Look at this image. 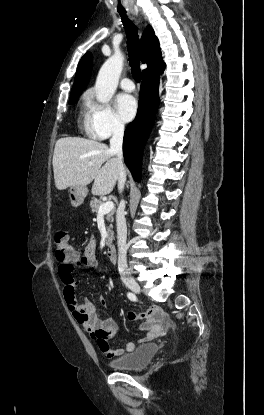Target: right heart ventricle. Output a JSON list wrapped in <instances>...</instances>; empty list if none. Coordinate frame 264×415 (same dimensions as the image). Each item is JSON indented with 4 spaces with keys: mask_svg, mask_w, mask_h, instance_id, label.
I'll list each match as a JSON object with an SVG mask.
<instances>
[{
    "mask_svg": "<svg viewBox=\"0 0 264 415\" xmlns=\"http://www.w3.org/2000/svg\"><path fill=\"white\" fill-rule=\"evenodd\" d=\"M79 122L89 137L98 138L91 125V106L88 99L85 97L82 99L81 103Z\"/></svg>",
    "mask_w": 264,
    "mask_h": 415,
    "instance_id": "obj_1",
    "label": "right heart ventricle"
}]
</instances>
